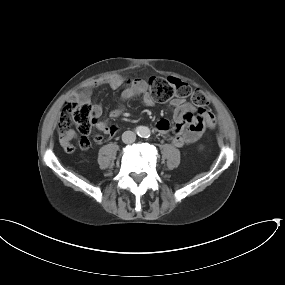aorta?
<instances>
[{"label": "aorta", "instance_id": "aorta-1", "mask_svg": "<svg viewBox=\"0 0 285 285\" xmlns=\"http://www.w3.org/2000/svg\"><path fill=\"white\" fill-rule=\"evenodd\" d=\"M150 129L146 126H141L138 129V135L143 138H148L150 136Z\"/></svg>", "mask_w": 285, "mask_h": 285}]
</instances>
